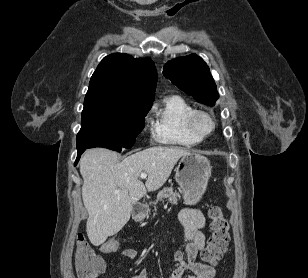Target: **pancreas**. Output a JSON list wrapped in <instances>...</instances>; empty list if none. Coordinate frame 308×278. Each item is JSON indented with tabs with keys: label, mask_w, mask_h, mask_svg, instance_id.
Listing matches in <instances>:
<instances>
[{
	"label": "pancreas",
	"mask_w": 308,
	"mask_h": 278,
	"mask_svg": "<svg viewBox=\"0 0 308 278\" xmlns=\"http://www.w3.org/2000/svg\"><path fill=\"white\" fill-rule=\"evenodd\" d=\"M178 198H180L179 193L174 191L172 187H165L157 194L156 201L153 202L154 206L157 205L158 201H164L167 199L168 202L172 203L173 205H177Z\"/></svg>",
	"instance_id": "1"
}]
</instances>
